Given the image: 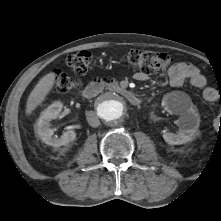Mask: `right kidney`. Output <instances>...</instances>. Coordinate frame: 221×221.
Segmentation results:
<instances>
[{
	"instance_id": "right-kidney-1",
	"label": "right kidney",
	"mask_w": 221,
	"mask_h": 221,
	"mask_svg": "<svg viewBox=\"0 0 221 221\" xmlns=\"http://www.w3.org/2000/svg\"><path fill=\"white\" fill-rule=\"evenodd\" d=\"M63 104L59 101L54 102L47 107L42 113L37 123L34 126L35 133L39 138L47 145L53 147H60L67 145L74 141L76 138V133L73 130H68L63 133L61 137L53 136L54 130L50 128V121L56 119L61 110Z\"/></svg>"
}]
</instances>
